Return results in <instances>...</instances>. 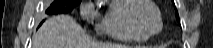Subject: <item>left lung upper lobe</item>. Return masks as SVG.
<instances>
[{
  "mask_svg": "<svg viewBox=\"0 0 213 48\" xmlns=\"http://www.w3.org/2000/svg\"><path fill=\"white\" fill-rule=\"evenodd\" d=\"M173 1V0H172ZM176 17H177V20L179 21V15H178V12L176 10Z\"/></svg>",
  "mask_w": 213,
  "mask_h": 48,
  "instance_id": "5c2ea615",
  "label": "left lung upper lobe"
}]
</instances>
